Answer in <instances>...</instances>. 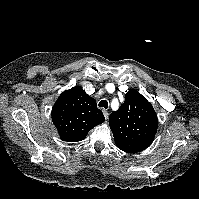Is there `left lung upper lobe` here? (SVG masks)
<instances>
[{
    "label": "left lung upper lobe",
    "mask_w": 199,
    "mask_h": 199,
    "mask_svg": "<svg viewBox=\"0 0 199 199\" xmlns=\"http://www.w3.org/2000/svg\"><path fill=\"white\" fill-rule=\"evenodd\" d=\"M109 125L117 147L126 153H137L153 142L158 119L146 98L129 90L124 103L110 115Z\"/></svg>",
    "instance_id": "5c2ea615"
}]
</instances>
